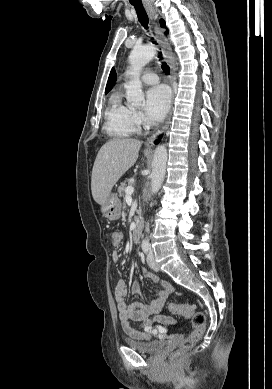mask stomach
I'll use <instances>...</instances> for the list:
<instances>
[{
    "label": "stomach",
    "mask_w": 272,
    "mask_h": 389,
    "mask_svg": "<svg viewBox=\"0 0 272 389\" xmlns=\"http://www.w3.org/2000/svg\"><path fill=\"white\" fill-rule=\"evenodd\" d=\"M101 212L108 220H117L121 216V201L116 194H110L105 204L101 206Z\"/></svg>",
    "instance_id": "stomach-1"
}]
</instances>
